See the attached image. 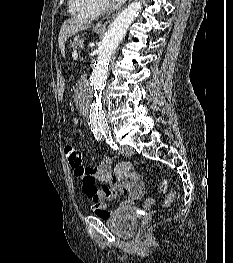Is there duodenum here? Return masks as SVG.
<instances>
[{
	"label": "duodenum",
	"mask_w": 233,
	"mask_h": 263,
	"mask_svg": "<svg viewBox=\"0 0 233 263\" xmlns=\"http://www.w3.org/2000/svg\"><path fill=\"white\" fill-rule=\"evenodd\" d=\"M80 77L82 78V81H83V82H86V77H87V74H86V73H81V74H80Z\"/></svg>",
	"instance_id": "410a0bca"
}]
</instances>
